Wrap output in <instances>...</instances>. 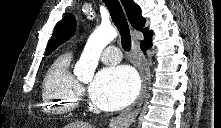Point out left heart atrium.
Segmentation results:
<instances>
[{
    "instance_id": "39dd6f15",
    "label": "left heart atrium",
    "mask_w": 221,
    "mask_h": 128,
    "mask_svg": "<svg viewBox=\"0 0 221 128\" xmlns=\"http://www.w3.org/2000/svg\"><path fill=\"white\" fill-rule=\"evenodd\" d=\"M139 91V79L126 66L101 70L91 84L89 95L98 107L114 111L129 105Z\"/></svg>"
}]
</instances>
